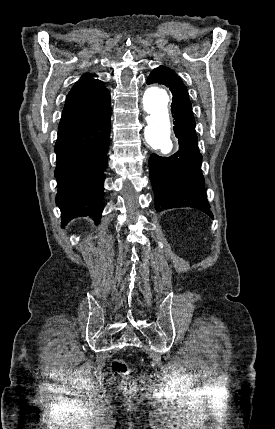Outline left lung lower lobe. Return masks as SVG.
<instances>
[{"mask_svg": "<svg viewBox=\"0 0 275 429\" xmlns=\"http://www.w3.org/2000/svg\"><path fill=\"white\" fill-rule=\"evenodd\" d=\"M167 86L173 95L171 111L174 133L179 150L170 157L152 154L149 159L150 181L155 194V209L193 207L213 218L204 189L195 120L188 90L180 77L171 69L160 66L152 71L147 84Z\"/></svg>", "mask_w": 275, "mask_h": 429, "instance_id": "left-lung-lower-lobe-1", "label": "left lung lower lobe"}]
</instances>
